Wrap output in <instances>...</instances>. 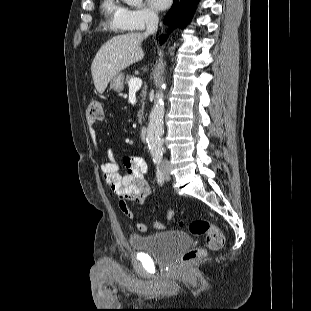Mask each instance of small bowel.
I'll list each match as a JSON object with an SVG mask.
<instances>
[{
  "mask_svg": "<svg viewBox=\"0 0 311 311\" xmlns=\"http://www.w3.org/2000/svg\"><path fill=\"white\" fill-rule=\"evenodd\" d=\"M95 121H88V132L95 144L97 153L100 155V148L97 143V133L94 128ZM101 156V155H100ZM124 172H120V164L115 159V153L110 152L107 161H103L100 169L108 186L119 197V208L127 218L136 222V228L140 232H146L145 223L136 220V215L128 205V201L142 204L151 193V187L146 180L147 165L140 156H124L122 159ZM154 227L163 229L164 225L153 220Z\"/></svg>",
  "mask_w": 311,
  "mask_h": 311,
  "instance_id": "obj_1",
  "label": "small bowel"
}]
</instances>
